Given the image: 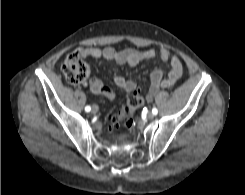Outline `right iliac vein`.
<instances>
[{"mask_svg": "<svg viewBox=\"0 0 245 195\" xmlns=\"http://www.w3.org/2000/svg\"><path fill=\"white\" fill-rule=\"evenodd\" d=\"M98 110H99L98 106L93 105L91 112H92L93 114H96V113L98 112Z\"/></svg>", "mask_w": 245, "mask_h": 195, "instance_id": "right-iliac-vein-1", "label": "right iliac vein"}]
</instances>
